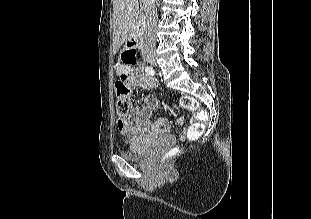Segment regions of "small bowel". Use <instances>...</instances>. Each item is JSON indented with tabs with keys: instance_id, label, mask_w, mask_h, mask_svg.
<instances>
[{
	"instance_id": "obj_1",
	"label": "small bowel",
	"mask_w": 311,
	"mask_h": 219,
	"mask_svg": "<svg viewBox=\"0 0 311 219\" xmlns=\"http://www.w3.org/2000/svg\"><path fill=\"white\" fill-rule=\"evenodd\" d=\"M116 72L119 76H126L132 89L137 87L151 89L157 86L156 79L145 74L139 67L117 64ZM143 102V107H134L130 110L127 118L117 120V128L126 142L136 143L161 136H170L171 124L168 119L161 117L151 122L152 111L156 110L159 105L157 97L148 94L144 97Z\"/></svg>"
}]
</instances>
